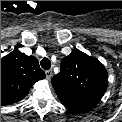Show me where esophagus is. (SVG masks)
<instances>
[{
    "instance_id": "obj_1",
    "label": "esophagus",
    "mask_w": 122,
    "mask_h": 122,
    "mask_svg": "<svg viewBox=\"0 0 122 122\" xmlns=\"http://www.w3.org/2000/svg\"><path fill=\"white\" fill-rule=\"evenodd\" d=\"M51 77H52V71L51 70L46 71V78H47V80H50Z\"/></svg>"
}]
</instances>
